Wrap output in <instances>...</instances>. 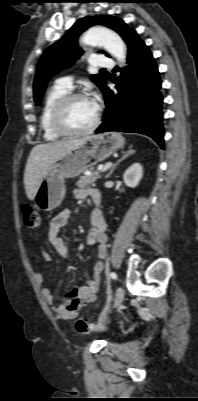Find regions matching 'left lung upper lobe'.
Wrapping results in <instances>:
<instances>
[{"mask_svg": "<svg viewBox=\"0 0 198 401\" xmlns=\"http://www.w3.org/2000/svg\"><path fill=\"white\" fill-rule=\"evenodd\" d=\"M93 25H103L111 28L124 40L133 30L127 27L123 20L112 16H87L79 19L59 41L47 48L38 63L34 79V100L37 105L41 103L43 92L49 79L57 72L72 65L82 54V51L77 46L78 36ZM90 78L103 89L106 83L103 76L96 74L91 75Z\"/></svg>", "mask_w": 198, "mask_h": 401, "instance_id": "obj_1", "label": "left lung upper lobe"}]
</instances>
